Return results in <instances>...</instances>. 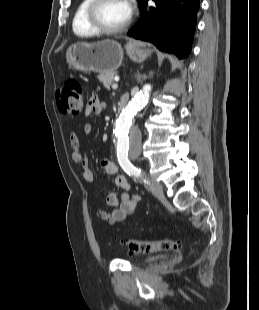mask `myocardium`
Instances as JSON below:
<instances>
[{"label":"myocardium","instance_id":"f54148a6","mask_svg":"<svg viewBox=\"0 0 259 310\" xmlns=\"http://www.w3.org/2000/svg\"><path fill=\"white\" fill-rule=\"evenodd\" d=\"M105 1L106 0H91L86 11L87 24L98 34L113 35L123 32L129 27L131 21L130 18H128L121 26L115 28L106 27L100 22L98 18V10Z\"/></svg>","mask_w":259,"mask_h":310}]
</instances>
